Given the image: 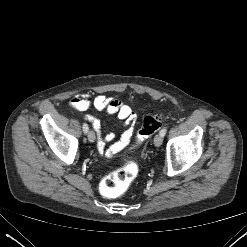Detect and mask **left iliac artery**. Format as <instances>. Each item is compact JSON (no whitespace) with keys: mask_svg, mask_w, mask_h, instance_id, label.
<instances>
[{"mask_svg":"<svg viewBox=\"0 0 247 247\" xmlns=\"http://www.w3.org/2000/svg\"><path fill=\"white\" fill-rule=\"evenodd\" d=\"M167 132V127H164L161 131L160 134L164 137Z\"/></svg>","mask_w":247,"mask_h":247,"instance_id":"left-iliac-artery-1","label":"left iliac artery"}]
</instances>
